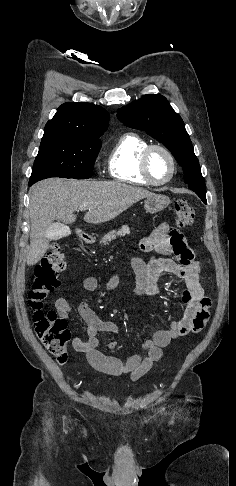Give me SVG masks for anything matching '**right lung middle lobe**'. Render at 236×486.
<instances>
[{"mask_svg":"<svg viewBox=\"0 0 236 486\" xmlns=\"http://www.w3.org/2000/svg\"><path fill=\"white\" fill-rule=\"evenodd\" d=\"M100 148L99 139L44 134L29 183L49 177L88 179Z\"/></svg>","mask_w":236,"mask_h":486,"instance_id":"dd1d6c3e","label":"right lung middle lobe"}]
</instances>
